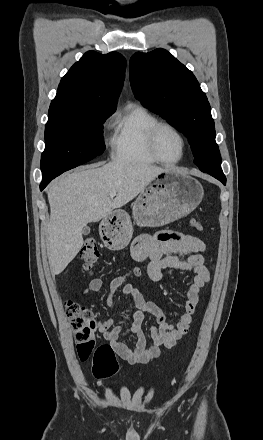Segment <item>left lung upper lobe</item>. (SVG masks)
<instances>
[{
  "instance_id": "1",
  "label": "left lung upper lobe",
  "mask_w": 263,
  "mask_h": 440,
  "mask_svg": "<svg viewBox=\"0 0 263 440\" xmlns=\"http://www.w3.org/2000/svg\"><path fill=\"white\" fill-rule=\"evenodd\" d=\"M129 65L135 97L188 138L201 171L223 173L211 108L193 73L164 49L137 52Z\"/></svg>"
}]
</instances>
